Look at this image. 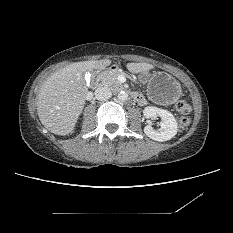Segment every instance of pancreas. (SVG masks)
Returning <instances> with one entry per match:
<instances>
[{
    "label": "pancreas",
    "instance_id": "pancreas-1",
    "mask_svg": "<svg viewBox=\"0 0 233 233\" xmlns=\"http://www.w3.org/2000/svg\"><path fill=\"white\" fill-rule=\"evenodd\" d=\"M120 74H122L120 71H108L102 76V82L108 86L119 88L122 86L117 79Z\"/></svg>",
    "mask_w": 233,
    "mask_h": 233
}]
</instances>
